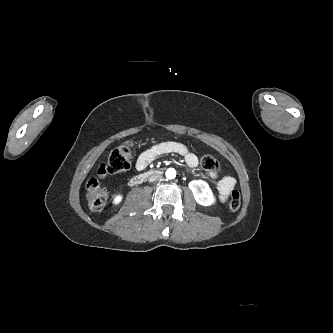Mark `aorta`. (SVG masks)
I'll list each match as a JSON object with an SVG mask.
<instances>
[{
	"label": "aorta",
	"instance_id": "762f6f07",
	"mask_svg": "<svg viewBox=\"0 0 333 333\" xmlns=\"http://www.w3.org/2000/svg\"><path fill=\"white\" fill-rule=\"evenodd\" d=\"M165 175L167 179H174L176 177V171L172 168L167 169Z\"/></svg>",
	"mask_w": 333,
	"mask_h": 333
}]
</instances>
